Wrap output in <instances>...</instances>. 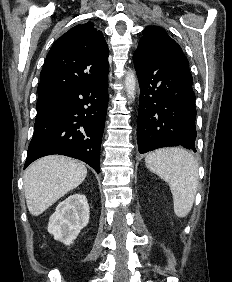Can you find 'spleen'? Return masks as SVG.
<instances>
[{"instance_id": "spleen-1", "label": "spleen", "mask_w": 232, "mask_h": 282, "mask_svg": "<svg viewBox=\"0 0 232 282\" xmlns=\"http://www.w3.org/2000/svg\"><path fill=\"white\" fill-rule=\"evenodd\" d=\"M146 167L169 183L174 212L185 217L197 191L198 165L195 158L179 148L161 149L145 158Z\"/></svg>"}]
</instances>
